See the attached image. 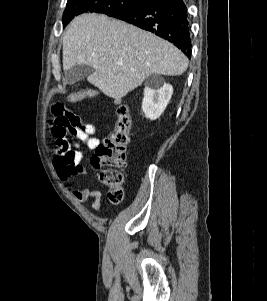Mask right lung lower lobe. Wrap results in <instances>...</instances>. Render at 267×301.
Returning <instances> with one entry per match:
<instances>
[{
    "label": "right lung lower lobe",
    "mask_w": 267,
    "mask_h": 301,
    "mask_svg": "<svg viewBox=\"0 0 267 301\" xmlns=\"http://www.w3.org/2000/svg\"><path fill=\"white\" fill-rule=\"evenodd\" d=\"M114 17L168 40L191 57L190 27L183 0H150Z\"/></svg>",
    "instance_id": "1"
}]
</instances>
